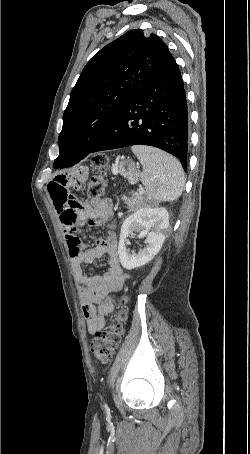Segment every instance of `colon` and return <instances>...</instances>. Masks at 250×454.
<instances>
[{
  "label": "colon",
  "instance_id": "colon-1",
  "mask_svg": "<svg viewBox=\"0 0 250 454\" xmlns=\"http://www.w3.org/2000/svg\"><path fill=\"white\" fill-rule=\"evenodd\" d=\"M95 167L100 170L107 166L108 158L104 154H97L92 159ZM107 183L100 174L94 175L88 185L87 194L91 200H97L104 196ZM128 302L126 292L116 299L117 310L113 313L111 323L103 331H97L91 343V351L97 363L104 364L110 361L117 349L123 330V323L127 319L125 305Z\"/></svg>",
  "mask_w": 250,
  "mask_h": 454
}]
</instances>
